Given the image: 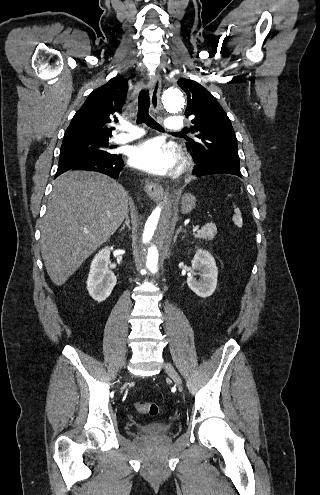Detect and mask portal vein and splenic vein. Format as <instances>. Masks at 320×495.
Here are the masks:
<instances>
[{"label":"portal vein and splenic vein","instance_id":"portal-vein-and-splenic-vein-1","mask_svg":"<svg viewBox=\"0 0 320 495\" xmlns=\"http://www.w3.org/2000/svg\"><path fill=\"white\" fill-rule=\"evenodd\" d=\"M198 229H199V226H198V225H196V226L193 228V232L198 231Z\"/></svg>","mask_w":320,"mask_h":495}]
</instances>
